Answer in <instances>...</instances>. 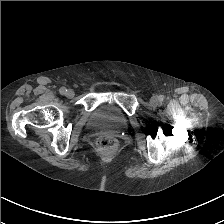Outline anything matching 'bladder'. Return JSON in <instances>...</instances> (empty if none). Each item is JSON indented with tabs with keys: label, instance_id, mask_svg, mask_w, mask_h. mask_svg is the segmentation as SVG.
Returning <instances> with one entry per match:
<instances>
[{
	"label": "bladder",
	"instance_id": "bladder-1",
	"mask_svg": "<svg viewBox=\"0 0 224 224\" xmlns=\"http://www.w3.org/2000/svg\"><path fill=\"white\" fill-rule=\"evenodd\" d=\"M87 126L93 131L120 133L127 129L128 120L107 96L90 113Z\"/></svg>",
	"mask_w": 224,
	"mask_h": 224
}]
</instances>
